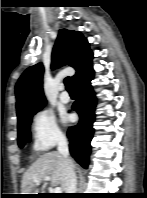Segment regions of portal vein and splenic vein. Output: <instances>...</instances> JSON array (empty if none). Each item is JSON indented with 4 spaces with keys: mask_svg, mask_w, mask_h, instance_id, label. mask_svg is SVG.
<instances>
[{
    "mask_svg": "<svg viewBox=\"0 0 147 198\" xmlns=\"http://www.w3.org/2000/svg\"><path fill=\"white\" fill-rule=\"evenodd\" d=\"M44 181H50L51 178L50 177H45L43 179ZM41 183V181H37L36 184L39 185ZM53 193H62V188L61 187H55L53 190Z\"/></svg>",
    "mask_w": 147,
    "mask_h": 198,
    "instance_id": "portal-vein-and-splenic-vein-1",
    "label": "portal vein and splenic vein"
}]
</instances>
